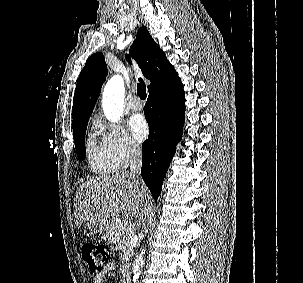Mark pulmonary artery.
I'll return each instance as SVG.
<instances>
[{
	"label": "pulmonary artery",
	"mask_w": 303,
	"mask_h": 283,
	"mask_svg": "<svg viewBox=\"0 0 303 283\" xmlns=\"http://www.w3.org/2000/svg\"><path fill=\"white\" fill-rule=\"evenodd\" d=\"M129 105L133 111H140L143 108V104L138 97L132 98Z\"/></svg>",
	"instance_id": "pulmonary-artery-1"
}]
</instances>
